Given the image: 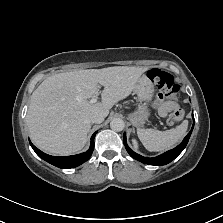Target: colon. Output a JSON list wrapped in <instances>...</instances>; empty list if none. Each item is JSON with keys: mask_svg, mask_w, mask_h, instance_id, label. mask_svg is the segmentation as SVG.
<instances>
[{"mask_svg": "<svg viewBox=\"0 0 223 223\" xmlns=\"http://www.w3.org/2000/svg\"><path fill=\"white\" fill-rule=\"evenodd\" d=\"M149 79L157 85L169 98H174L179 92V86L175 84L172 75L160 69H151L148 72ZM183 118V111L176 108L169 116L168 123L170 125L178 123Z\"/></svg>", "mask_w": 223, "mask_h": 223, "instance_id": "colon-1", "label": "colon"}]
</instances>
